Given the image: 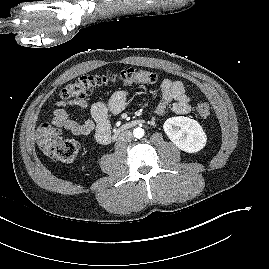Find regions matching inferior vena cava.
<instances>
[{
	"label": "inferior vena cava",
	"instance_id": "inferior-vena-cava-1",
	"mask_svg": "<svg viewBox=\"0 0 269 269\" xmlns=\"http://www.w3.org/2000/svg\"><path fill=\"white\" fill-rule=\"evenodd\" d=\"M131 138H132V132L126 130V131H123V132L120 133L118 139H119L120 143H124V142L130 141Z\"/></svg>",
	"mask_w": 269,
	"mask_h": 269
}]
</instances>
